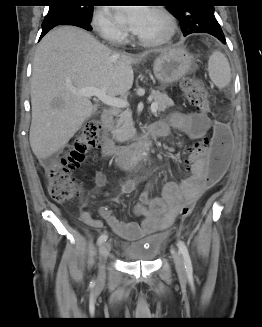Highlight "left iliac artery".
Returning <instances> with one entry per match:
<instances>
[{"label":"left iliac artery","mask_w":262,"mask_h":327,"mask_svg":"<svg viewBox=\"0 0 262 327\" xmlns=\"http://www.w3.org/2000/svg\"><path fill=\"white\" fill-rule=\"evenodd\" d=\"M177 246L183 256L187 274L192 275V273H193L192 262H191V258H190L187 246L185 245V243L182 240H179L177 242Z\"/></svg>","instance_id":"1"}]
</instances>
